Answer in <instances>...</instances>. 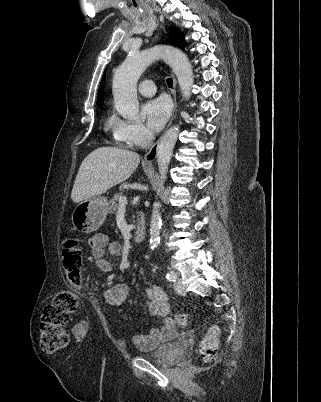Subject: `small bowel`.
Segmentation results:
<instances>
[{
  "label": "small bowel",
  "instance_id": "small-bowel-1",
  "mask_svg": "<svg viewBox=\"0 0 321 402\" xmlns=\"http://www.w3.org/2000/svg\"><path fill=\"white\" fill-rule=\"evenodd\" d=\"M89 246L96 267L102 272H110L112 263L105 258V253L111 256H121L122 246L118 241H112L105 234H95L89 239ZM147 308L157 318L161 319L158 327L144 334H134L132 343L140 350H149L158 343L175 336V320L170 316L168 298L165 291L156 284L149 285L146 290ZM105 304L114 309L121 308L128 300V287L125 284H115L103 294ZM85 330L84 323H77L73 329V335L80 339Z\"/></svg>",
  "mask_w": 321,
  "mask_h": 402
}]
</instances>
